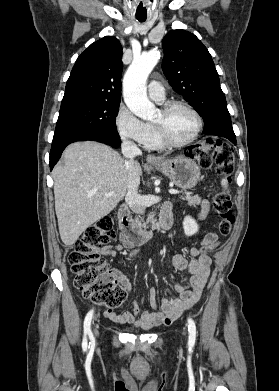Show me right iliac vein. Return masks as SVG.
I'll return each mask as SVG.
<instances>
[{
  "mask_svg": "<svg viewBox=\"0 0 279 391\" xmlns=\"http://www.w3.org/2000/svg\"><path fill=\"white\" fill-rule=\"evenodd\" d=\"M94 334H95L96 337H98L99 331H98L97 327L94 328Z\"/></svg>",
  "mask_w": 279,
  "mask_h": 391,
  "instance_id": "right-iliac-vein-1",
  "label": "right iliac vein"
}]
</instances>
